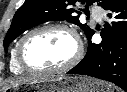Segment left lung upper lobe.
<instances>
[{"label": "left lung upper lobe", "mask_w": 127, "mask_h": 92, "mask_svg": "<svg viewBox=\"0 0 127 92\" xmlns=\"http://www.w3.org/2000/svg\"><path fill=\"white\" fill-rule=\"evenodd\" d=\"M76 1L86 2L87 7L89 4L97 2L99 6L105 8L115 0H25L15 13L11 27L4 39L5 51L9 44L24 31L47 21L67 20L80 26L86 36L90 35L93 30L86 24H81L79 16L73 15L74 12L80 14L72 6Z\"/></svg>", "instance_id": "1"}]
</instances>
